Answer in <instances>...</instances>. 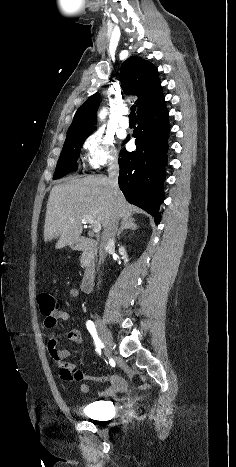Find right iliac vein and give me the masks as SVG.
<instances>
[{"instance_id":"63e3f726","label":"right iliac vein","mask_w":236,"mask_h":467,"mask_svg":"<svg viewBox=\"0 0 236 467\" xmlns=\"http://www.w3.org/2000/svg\"><path fill=\"white\" fill-rule=\"evenodd\" d=\"M96 326H97L98 332L100 334V337L102 339L106 355L110 356L112 354V350H113L111 333L109 332V330L106 327L105 323L100 318H97Z\"/></svg>"}]
</instances>
